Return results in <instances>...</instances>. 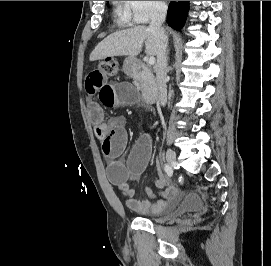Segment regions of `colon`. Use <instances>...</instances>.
Returning a JSON list of instances; mask_svg holds the SVG:
<instances>
[{"label": "colon", "instance_id": "obj_1", "mask_svg": "<svg viewBox=\"0 0 271 266\" xmlns=\"http://www.w3.org/2000/svg\"><path fill=\"white\" fill-rule=\"evenodd\" d=\"M98 69L107 76H113L118 73V62L112 58L104 59L99 62Z\"/></svg>", "mask_w": 271, "mask_h": 266}]
</instances>
